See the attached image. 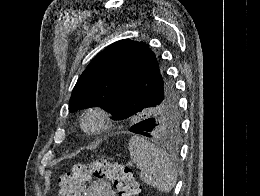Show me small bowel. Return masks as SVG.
Listing matches in <instances>:
<instances>
[{
    "instance_id": "c3829d8e",
    "label": "small bowel",
    "mask_w": 260,
    "mask_h": 196,
    "mask_svg": "<svg viewBox=\"0 0 260 196\" xmlns=\"http://www.w3.org/2000/svg\"><path fill=\"white\" fill-rule=\"evenodd\" d=\"M85 196H115L109 181L96 179L91 182L84 190Z\"/></svg>"
}]
</instances>
